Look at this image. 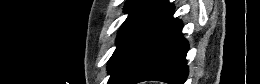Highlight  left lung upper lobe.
Instances as JSON below:
<instances>
[{
	"mask_svg": "<svg viewBox=\"0 0 260 84\" xmlns=\"http://www.w3.org/2000/svg\"><path fill=\"white\" fill-rule=\"evenodd\" d=\"M162 0H128L125 6V13L129 16L122 24L117 36V48L108 63V72L111 71L115 60L128 40L139 28L145 18L154 10Z\"/></svg>",
	"mask_w": 260,
	"mask_h": 84,
	"instance_id": "1",
	"label": "left lung upper lobe"
}]
</instances>
